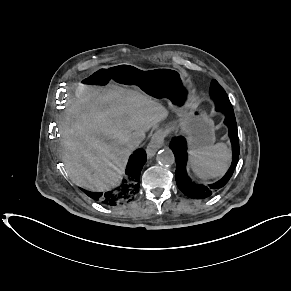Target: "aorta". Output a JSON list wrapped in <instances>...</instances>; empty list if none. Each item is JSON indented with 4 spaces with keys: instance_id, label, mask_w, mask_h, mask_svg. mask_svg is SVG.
I'll use <instances>...</instances> for the list:
<instances>
[{
    "instance_id": "obj_1",
    "label": "aorta",
    "mask_w": 291,
    "mask_h": 291,
    "mask_svg": "<svg viewBox=\"0 0 291 291\" xmlns=\"http://www.w3.org/2000/svg\"><path fill=\"white\" fill-rule=\"evenodd\" d=\"M159 164L170 166L175 162V157L171 149L164 148L160 150L156 157Z\"/></svg>"
}]
</instances>
